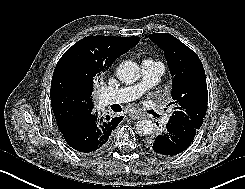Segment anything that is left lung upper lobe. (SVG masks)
Returning <instances> with one entry per match:
<instances>
[{
    "label": "left lung upper lobe",
    "instance_id": "5c2ea615",
    "mask_svg": "<svg viewBox=\"0 0 245 189\" xmlns=\"http://www.w3.org/2000/svg\"><path fill=\"white\" fill-rule=\"evenodd\" d=\"M149 38L163 51L173 76L171 95L175 112L171 122L199 129L207 110L205 71L198 55L168 33H153Z\"/></svg>",
    "mask_w": 245,
    "mask_h": 189
}]
</instances>
